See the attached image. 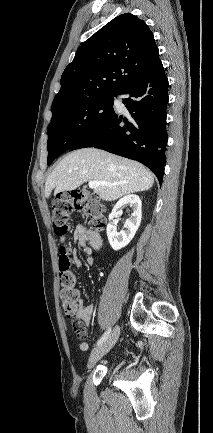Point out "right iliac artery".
<instances>
[{
	"instance_id": "1",
	"label": "right iliac artery",
	"mask_w": 213,
	"mask_h": 433,
	"mask_svg": "<svg viewBox=\"0 0 213 433\" xmlns=\"http://www.w3.org/2000/svg\"><path fill=\"white\" fill-rule=\"evenodd\" d=\"M111 332V328H109L103 335L102 337L97 341V345H101L110 335Z\"/></svg>"
}]
</instances>
